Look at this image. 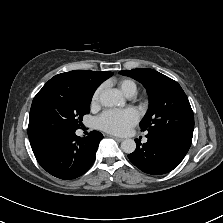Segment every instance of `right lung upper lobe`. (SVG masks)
I'll return each instance as SVG.
<instances>
[{"mask_svg":"<svg viewBox=\"0 0 223 223\" xmlns=\"http://www.w3.org/2000/svg\"><path fill=\"white\" fill-rule=\"evenodd\" d=\"M112 75L107 71L74 70L54 76L44 86L87 97L92 96L96 88Z\"/></svg>","mask_w":223,"mask_h":223,"instance_id":"1","label":"right lung upper lobe"}]
</instances>
